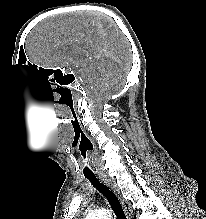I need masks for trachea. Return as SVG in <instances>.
I'll return each instance as SVG.
<instances>
[{"mask_svg": "<svg viewBox=\"0 0 206 219\" xmlns=\"http://www.w3.org/2000/svg\"><path fill=\"white\" fill-rule=\"evenodd\" d=\"M85 177L108 200L116 219H127L116 194L107 185L100 182L94 174H88Z\"/></svg>", "mask_w": 206, "mask_h": 219, "instance_id": "obj_1", "label": "trachea"}]
</instances>
